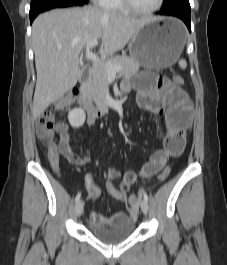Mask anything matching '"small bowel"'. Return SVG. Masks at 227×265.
<instances>
[{
	"instance_id": "1",
	"label": "small bowel",
	"mask_w": 227,
	"mask_h": 265,
	"mask_svg": "<svg viewBox=\"0 0 227 265\" xmlns=\"http://www.w3.org/2000/svg\"><path fill=\"white\" fill-rule=\"evenodd\" d=\"M133 81H124L122 90L129 92L134 89L137 93L138 105L153 114L163 115L166 128L163 147L157 150L142 166L139 172L132 170L121 173L111 168L106 171V188L118 200L127 202L132 185L139 178L154 176L172 156L179 155L185 145V132L192 122V107L184 90L176 86L169 79L159 76L158 72H134ZM94 124V119L88 117L87 125ZM59 141L49 149V159L54 171L59 170V157L64 156L72 164L83 166L89 162L88 157H81L71 151L70 141L72 133L66 123H58L55 127ZM120 180L117 187L113 181ZM86 187L91 199H96L100 193V186L91 175L86 176ZM134 212H118L107 218L102 214L91 212L89 222L95 226H115L132 220Z\"/></svg>"
}]
</instances>
